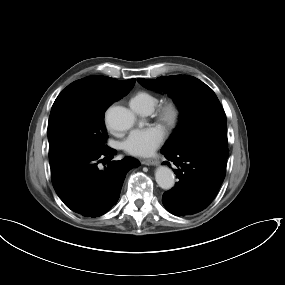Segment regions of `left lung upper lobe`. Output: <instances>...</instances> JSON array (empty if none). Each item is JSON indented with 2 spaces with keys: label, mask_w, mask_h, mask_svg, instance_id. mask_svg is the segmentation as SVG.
<instances>
[{
  "label": "left lung upper lobe",
  "mask_w": 285,
  "mask_h": 285,
  "mask_svg": "<svg viewBox=\"0 0 285 285\" xmlns=\"http://www.w3.org/2000/svg\"><path fill=\"white\" fill-rule=\"evenodd\" d=\"M144 87L163 93L176 102L180 119L162 150L178 151L201 144L227 147L226 115L214 91L199 79L171 75L155 80L138 78Z\"/></svg>",
  "instance_id": "1"
}]
</instances>
